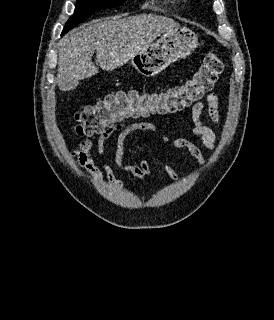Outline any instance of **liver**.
Listing matches in <instances>:
<instances>
[{"label":"liver","mask_w":274,"mask_h":320,"mask_svg":"<svg viewBox=\"0 0 274 320\" xmlns=\"http://www.w3.org/2000/svg\"><path fill=\"white\" fill-rule=\"evenodd\" d=\"M173 28H179V24L156 14L123 20L102 18L81 24L60 40L57 74L60 90H72L78 86V80L97 74L98 68L91 60L95 52L101 70L113 72L136 54L146 52L158 36Z\"/></svg>","instance_id":"1"}]
</instances>
